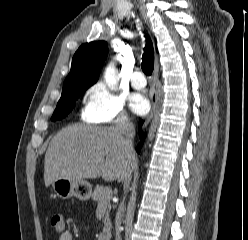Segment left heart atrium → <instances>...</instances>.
<instances>
[{
  "label": "left heart atrium",
  "instance_id": "1",
  "mask_svg": "<svg viewBox=\"0 0 248 240\" xmlns=\"http://www.w3.org/2000/svg\"><path fill=\"white\" fill-rule=\"evenodd\" d=\"M131 109L136 114H144L149 107L148 101L141 94H134L130 102Z\"/></svg>",
  "mask_w": 248,
  "mask_h": 240
}]
</instances>
